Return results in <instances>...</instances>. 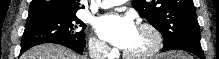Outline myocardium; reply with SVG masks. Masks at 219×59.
I'll use <instances>...</instances> for the list:
<instances>
[{
	"instance_id": "f54148a6",
	"label": "myocardium",
	"mask_w": 219,
	"mask_h": 59,
	"mask_svg": "<svg viewBox=\"0 0 219 59\" xmlns=\"http://www.w3.org/2000/svg\"><path fill=\"white\" fill-rule=\"evenodd\" d=\"M138 29L148 32L152 37L151 46L141 53H130L123 50V56L127 59H148L156 55L162 48L163 36L161 32L151 23H141Z\"/></svg>"
}]
</instances>
